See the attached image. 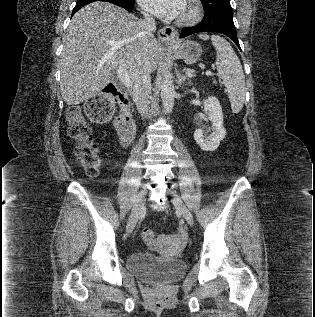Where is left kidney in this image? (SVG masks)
<instances>
[{
    "mask_svg": "<svg viewBox=\"0 0 315 317\" xmlns=\"http://www.w3.org/2000/svg\"><path fill=\"white\" fill-rule=\"evenodd\" d=\"M204 110L212 123L213 132L210 136H206L203 134L202 129H196L194 139L202 150L214 151L220 145V141L226 136V130L223 126V112L218 99L213 96H209L205 100Z\"/></svg>",
    "mask_w": 315,
    "mask_h": 317,
    "instance_id": "1",
    "label": "left kidney"
}]
</instances>
